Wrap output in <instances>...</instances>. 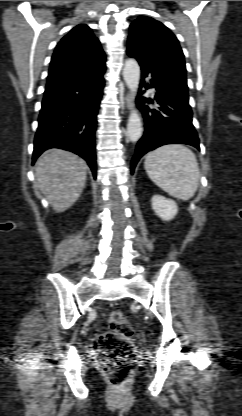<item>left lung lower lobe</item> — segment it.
Returning a JSON list of instances; mask_svg holds the SVG:
<instances>
[{
	"instance_id": "0a47b994",
	"label": "left lung lower lobe",
	"mask_w": 242,
	"mask_h": 416,
	"mask_svg": "<svg viewBox=\"0 0 242 416\" xmlns=\"http://www.w3.org/2000/svg\"><path fill=\"white\" fill-rule=\"evenodd\" d=\"M127 54L136 58L141 66L140 86L144 85L145 77H150L151 85L147 84L146 87L156 89L155 107L145 105L147 102L154 103L151 99L145 97L137 99V106L144 117L145 130L137 143L131 161V172H134L136 164L144 154L162 145L183 143L200 149L198 134L192 124L188 93L170 82H165L160 72L155 71L147 60L138 57L133 51L127 49ZM143 93L144 91H140V94Z\"/></svg>"
}]
</instances>
